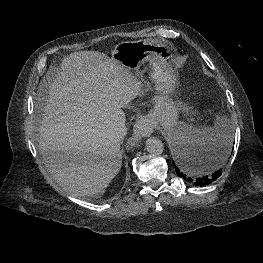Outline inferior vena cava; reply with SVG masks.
I'll list each match as a JSON object with an SVG mask.
<instances>
[{"label":"inferior vena cava","instance_id":"1","mask_svg":"<svg viewBox=\"0 0 263 263\" xmlns=\"http://www.w3.org/2000/svg\"><path fill=\"white\" fill-rule=\"evenodd\" d=\"M127 134V127L123 121H116L111 124L110 136L113 140L120 142Z\"/></svg>","mask_w":263,"mask_h":263}]
</instances>
